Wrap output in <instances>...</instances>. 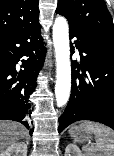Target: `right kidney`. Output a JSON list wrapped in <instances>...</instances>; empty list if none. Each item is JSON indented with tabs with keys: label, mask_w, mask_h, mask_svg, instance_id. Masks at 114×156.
Returning <instances> with one entry per match:
<instances>
[{
	"label": "right kidney",
	"mask_w": 114,
	"mask_h": 156,
	"mask_svg": "<svg viewBox=\"0 0 114 156\" xmlns=\"http://www.w3.org/2000/svg\"><path fill=\"white\" fill-rule=\"evenodd\" d=\"M0 156H27V145L24 142H16L3 151Z\"/></svg>",
	"instance_id": "ca27d5eb"
}]
</instances>
